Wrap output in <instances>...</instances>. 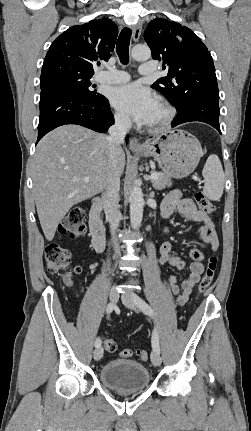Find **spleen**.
Instances as JSON below:
<instances>
[{
    "label": "spleen",
    "mask_w": 251,
    "mask_h": 431,
    "mask_svg": "<svg viewBox=\"0 0 251 431\" xmlns=\"http://www.w3.org/2000/svg\"><path fill=\"white\" fill-rule=\"evenodd\" d=\"M202 174L204 177V195L210 200H219L224 189V172L217 155L212 154L208 157Z\"/></svg>",
    "instance_id": "1"
}]
</instances>
